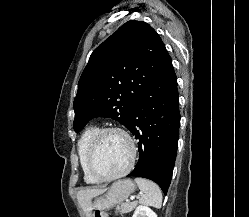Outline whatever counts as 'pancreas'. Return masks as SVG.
Instances as JSON below:
<instances>
[{"mask_svg": "<svg viewBox=\"0 0 249 217\" xmlns=\"http://www.w3.org/2000/svg\"><path fill=\"white\" fill-rule=\"evenodd\" d=\"M137 206V202H131V203H122L121 206H118L116 208L117 212H119L120 214H124V213H129L132 210H134Z\"/></svg>", "mask_w": 249, "mask_h": 217, "instance_id": "pancreas-1", "label": "pancreas"}]
</instances>
